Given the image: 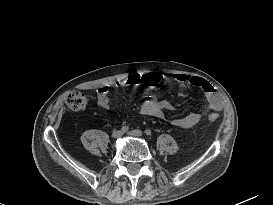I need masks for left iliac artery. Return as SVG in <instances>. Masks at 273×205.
Masks as SVG:
<instances>
[{"instance_id": "44dca946", "label": "left iliac artery", "mask_w": 273, "mask_h": 205, "mask_svg": "<svg viewBox=\"0 0 273 205\" xmlns=\"http://www.w3.org/2000/svg\"><path fill=\"white\" fill-rule=\"evenodd\" d=\"M145 134L148 135V136H151L152 132L150 129H146L145 130Z\"/></svg>"}]
</instances>
